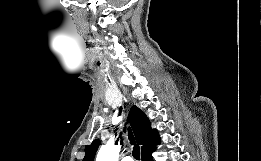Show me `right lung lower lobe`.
Returning <instances> with one entry per match:
<instances>
[{"instance_id":"1","label":"right lung lower lobe","mask_w":261,"mask_h":161,"mask_svg":"<svg viewBox=\"0 0 261 161\" xmlns=\"http://www.w3.org/2000/svg\"><path fill=\"white\" fill-rule=\"evenodd\" d=\"M153 151H155V149ZM153 151L142 155V161H153L152 155H151Z\"/></svg>"}]
</instances>
